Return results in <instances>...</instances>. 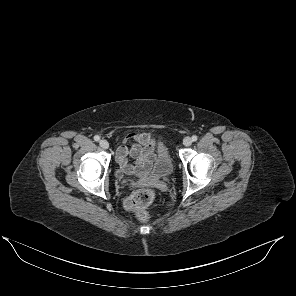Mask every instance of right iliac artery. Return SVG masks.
I'll return each instance as SVG.
<instances>
[{
    "label": "right iliac artery",
    "mask_w": 296,
    "mask_h": 296,
    "mask_svg": "<svg viewBox=\"0 0 296 296\" xmlns=\"http://www.w3.org/2000/svg\"><path fill=\"white\" fill-rule=\"evenodd\" d=\"M94 140H95V141H99V140H100V137H99L98 135H95V136H94Z\"/></svg>",
    "instance_id": "82829eb1"
}]
</instances>
